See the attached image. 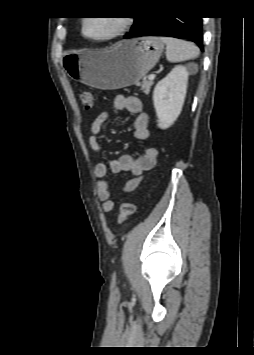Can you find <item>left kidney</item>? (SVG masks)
Wrapping results in <instances>:
<instances>
[{
    "mask_svg": "<svg viewBox=\"0 0 254 355\" xmlns=\"http://www.w3.org/2000/svg\"><path fill=\"white\" fill-rule=\"evenodd\" d=\"M187 83L186 67L177 65L155 86L153 103L159 128H169L178 118L186 96Z\"/></svg>",
    "mask_w": 254,
    "mask_h": 355,
    "instance_id": "1",
    "label": "left kidney"
}]
</instances>
